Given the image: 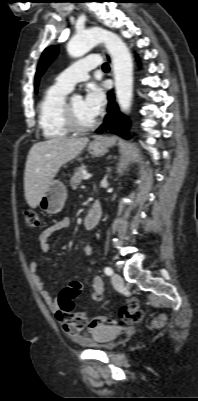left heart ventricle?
<instances>
[{"mask_svg": "<svg viewBox=\"0 0 198 401\" xmlns=\"http://www.w3.org/2000/svg\"><path fill=\"white\" fill-rule=\"evenodd\" d=\"M71 107L75 113L77 121L82 125H88L95 120L84 109L83 100L73 99L70 101Z\"/></svg>", "mask_w": 198, "mask_h": 401, "instance_id": "b2bd125f", "label": "left heart ventricle"}]
</instances>
